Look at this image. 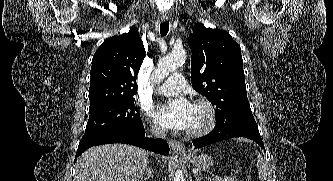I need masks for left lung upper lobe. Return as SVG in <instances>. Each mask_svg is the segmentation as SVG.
Listing matches in <instances>:
<instances>
[{"label": "left lung upper lobe", "mask_w": 333, "mask_h": 181, "mask_svg": "<svg viewBox=\"0 0 333 181\" xmlns=\"http://www.w3.org/2000/svg\"><path fill=\"white\" fill-rule=\"evenodd\" d=\"M192 87L234 120L237 132L259 135L247 99L240 46L229 33L198 24L189 37Z\"/></svg>", "instance_id": "left-lung-upper-lobe-1"}]
</instances>
